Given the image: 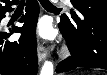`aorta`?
<instances>
[{
	"mask_svg": "<svg viewBox=\"0 0 107 75\" xmlns=\"http://www.w3.org/2000/svg\"><path fill=\"white\" fill-rule=\"evenodd\" d=\"M53 73H54L53 63L50 61H45V63L42 66L40 75H53Z\"/></svg>",
	"mask_w": 107,
	"mask_h": 75,
	"instance_id": "aorta-1",
	"label": "aorta"
}]
</instances>
